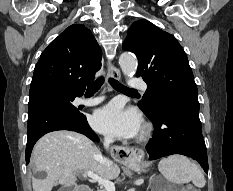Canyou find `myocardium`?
<instances>
[{
	"instance_id": "myocardium-1",
	"label": "myocardium",
	"mask_w": 233,
	"mask_h": 191,
	"mask_svg": "<svg viewBox=\"0 0 233 191\" xmlns=\"http://www.w3.org/2000/svg\"><path fill=\"white\" fill-rule=\"evenodd\" d=\"M151 132H152L151 126L148 123L144 124L139 134L138 142L140 143L146 142L150 138Z\"/></svg>"
}]
</instances>
